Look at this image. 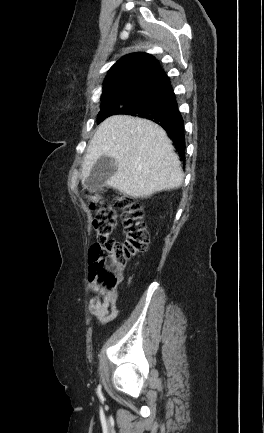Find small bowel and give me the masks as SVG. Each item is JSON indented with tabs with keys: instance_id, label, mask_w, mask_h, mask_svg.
<instances>
[{
	"instance_id": "c3829d8e",
	"label": "small bowel",
	"mask_w": 264,
	"mask_h": 433,
	"mask_svg": "<svg viewBox=\"0 0 264 433\" xmlns=\"http://www.w3.org/2000/svg\"><path fill=\"white\" fill-rule=\"evenodd\" d=\"M93 295L89 302V312L101 323L106 324L117 318L119 310L116 306V295L107 296L94 280L89 282Z\"/></svg>"
}]
</instances>
